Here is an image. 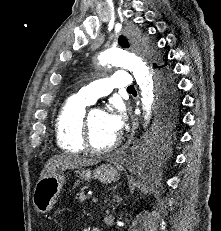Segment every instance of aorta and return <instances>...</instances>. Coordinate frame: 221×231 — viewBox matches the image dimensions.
<instances>
[{"label": "aorta", "mask_w": 221, "mask_h": 231, "mask_svg": "<svg viewBox=\"0 0 221 231\" xmlns=\"http://www.w3.org/2000/svg\"><path fill=\"white\" fill-rule=\"evenodd\" d=\"M99 61L127 68L135 77L141 91V101L145 112V121L148 123L152 104L154 102V86L152 73L144 60L132 51L122 48H111L100 53Z\"/></svg>", "instance_id": "1"}]
</instances>
